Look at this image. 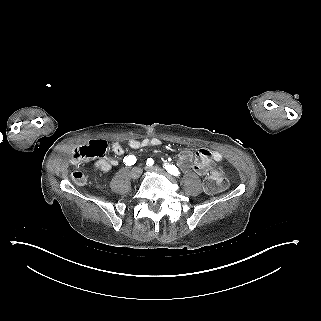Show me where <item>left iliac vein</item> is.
Segmentation results:
<instances>
[{
  "mask_svg": "<svg viewBox=\"0 0 321 321\" xmlns=\"http://www.w3.org/2000/svg\"><path fill=\"white\" fill-rule=\"evenodd\" d=\"M145 170L149 171V172H157V173H162V170L160 168L157 167H145Z\"/></svg>",
  "mask_w": 321,
  "mask_h": 321,
  "instance_id": "4c4485c4",
  "label": "left iliac vein"
}]
</instances>
